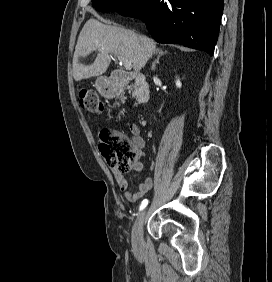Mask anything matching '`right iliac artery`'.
<instances>
[{"label": "right iliac artery", "instance_id": "82829eb1", "mask_svg": "<svg viewBox=\"0 0 272 282\" xmlns=\"http://www.w3.org/2000/svg\"><path fill=\"white\" fill-rule=\"evenodd\" d=\"M148 204V200L147 199H144L142 202H141V205H140V208L139 210H142L144 209Z\"/></svg>", "mask_w": 272, "mask_h": 282}]
</instances>
